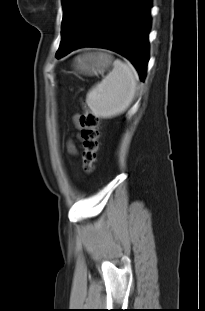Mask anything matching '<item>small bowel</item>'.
Listing matches in <instances>:
<instances>
[{
    "label": "small bowel",
    "mask_w": 205,
    "mask_h": 311,
    "mask_svg": "<svg viewBox=\"0 0 205 311\" xmlns=\"http://www.w3.org/2000/svg\"><path fill=\"white\" fill-rule=\"evenodd\" d=\"M75 120H76L77 125L79 126L78 117H76ZM68 149H69V151H70L71 153H75V151H76V150H75V147H74V145H73L72 143H69V144H68Z\"/></svg>",
    "instance_id": "obj_1"
}]
</instances>
